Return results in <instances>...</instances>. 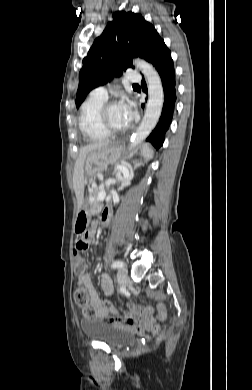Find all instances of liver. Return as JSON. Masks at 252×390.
Segmentation results:
<instances>
[{"label":"liver","instance_id":"1","mask_svg":"<svg viewBox=\"0 0 252 390\" xmlns=\"http://www.w3.org/2000/svg\"><path fill=\"white\" fill-rule=\"evenodd\" d=\"M109 146L108 142H95L84 146L80 149L79 156L76 160L73 174V188L75 190L76 197L79 201V204L82 203L83 200V192H84V164L87 155L94 151L101 149L103 147Z\"/></svg>","mask_w":252,"mask_h":390}]
</instances>
